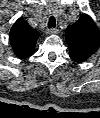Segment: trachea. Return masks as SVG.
Masks as SVG:
<instances>
[{
    "mask_svg": "<svg viewBox=\"0 0 100 118\" xmlns=\"http://www.w3.org/2000/svg\"><path fill=\"white\" fill-rule=\"evenodd\" d=\"M55 25H56L55 17L51 16V17L49 18L48 28L50 29V28H52V27H55Z\"/></svg>",
    "mask_w": 100,
    "mask_h": 118,
    "instance_id": "obj_1",
    "label": "trachea"
}]
</instances>
